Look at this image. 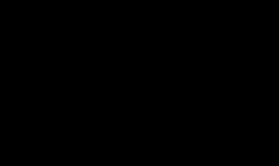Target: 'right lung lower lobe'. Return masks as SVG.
<instances>
[{
  "label": "right lung lower lobe",
  "instance_id": "98d812e1",
  "mask_svg": "<svg viewBox=\"0 0 279 166\" xmlns=\"http://www.w3.org/2000/svg\"><path fill=\"white\" fill-rule=\"evenodd\" d=\"M131 22L132 30L116 22H78L46 46L39 68L42 102L71 137L88 142L109 137L127 101L145 82L141 57L167 29Z\"/></svg>",
  "mask_w": 279,
  "mask_h": 166
}]
</instances>
